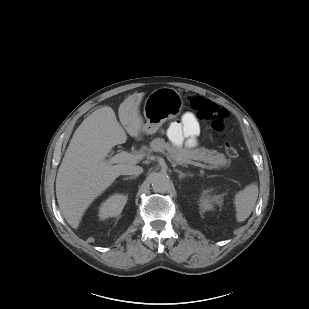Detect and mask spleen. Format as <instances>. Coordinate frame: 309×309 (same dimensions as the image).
<instances>
[{
    "instance_id": "3e777b00",
    "label": "spleen",
    "mask_w": 309,
    "mask_h": 309,
    "mask_svg": "<svg viewBox=\"0 0 309 309\" xmlns=\"http://www.w3.org/2000/svg\"><path fill=\"white\" fill-rule=\"evenodd\" d=\"M258 192V185L252 183L235 195L234 205L238 222H242L250 216L256 204Z\"/></svg>"
}]
</instances>
